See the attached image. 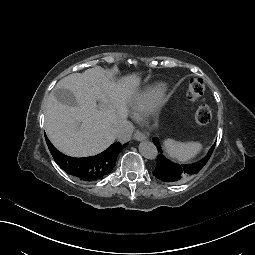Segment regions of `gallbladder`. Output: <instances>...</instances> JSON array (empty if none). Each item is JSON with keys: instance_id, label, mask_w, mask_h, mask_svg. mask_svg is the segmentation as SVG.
<instances>
[{"instance_id": "obj_1", "label": "gallbladder", "mask_w": 255, "mask_h": 255, "mask_svg": "<svg viewBox=\"0 0 255 255\" xmlns=\"http://www.w3.org/2000/svg\"><path fill=\"white\" fill-rule=\"evenodd\" d=\"M53 94L58 102L63 105L78 107V103L75 95L68 89L65 88H56L53 90Z\"/></svg>"}]
</instances>
